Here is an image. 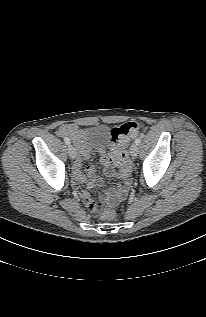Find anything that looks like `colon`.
I'll return each instance as SVG.
<instances>
[{"mask_svg": "<svg viewBox=\"0 0 206 317\" xmlns=\"http://www.w3.org/2000/svg\"><path fill=\"white\" fill-rule=\"evenodd\" d=\"M139 124L133 121L126 122L112 129V141L115 146L112 159L120 169L121 177H128L131 172V163L128 159L126 146L128 142L139 134ZM92 211L99 217L107 220L116 217L115 210L107 205L95 204Z\"/></svg>", "mask_w": 206, "mask_h": 317, "instance_id": "1", "label": "colon"}]
</instances>
